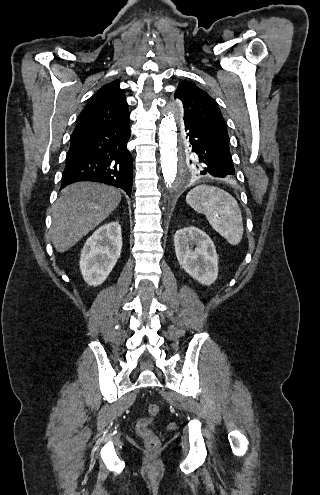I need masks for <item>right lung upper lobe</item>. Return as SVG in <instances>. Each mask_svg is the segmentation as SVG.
Wrapping results in <instances>:
<instances>
[{"label": "right lung upper lobe", "instance_id": "obj_1", "mask_svg": "<svg viewBox=\"0 0 320 495\" xmlns=\"http://www.w3.org/2000/svg\"><path fill=\"white\" fill-rule=\"evenodd\" d=\"M128 104L119 80L102 86L88 101L78 119L73 135L128 123Z\"/></svg>", "mask_w": 320, "mask_h": 495}]
</instances>
